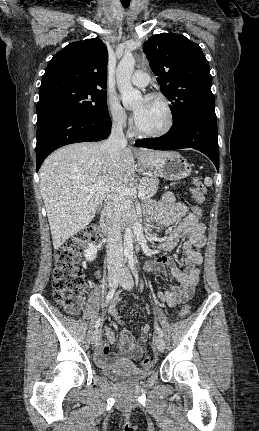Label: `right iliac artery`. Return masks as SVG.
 <instances>
[{"mask_svg":"<svg viewBox=\"0 0 259 431\" xmlns=\"http://www.w3.org/2000/svg\"><path fill=\"white\" fill-rule=\"evenodd\" d=\"M126 258L127 257H125V261H126ZM115 290H116V286H114L113 288H111L110 289V291L108 292V294H107V297H106V301H105V304L107 305L108 303H109V301L113 298V295H114V293H115ZM100 322H101V319L100 318H98V320L96 321V323H95V329H98V327L100 326Z\"/></svg>","mask_w":259,"mask_h":431,"instance_id":"right-iliac-artery-1","label":"right iliac artery"}]
</instances>
